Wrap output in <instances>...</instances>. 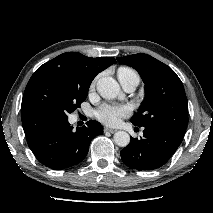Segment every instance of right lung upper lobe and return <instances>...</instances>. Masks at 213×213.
I'll list each match as a JSON object with an SVG mask.
<instances>
[{
    "label": "right lung upper lobe",
    "instance_id": "obj_1",
    "mask_svg": "<svg viewBox=\"0 0 213 213\" xmlns=\"http://www.w3.org/2000/svg\"><path fill=\"white\" fill-rule=\"evenodd\" d=\"M47 63L72 71L92 82L98 73L116 63V61L112 57L91 58L78 52H67Z\"/></svg>",
    "mask_w": 213,
    "mask_h": 213
}]
</instances>
